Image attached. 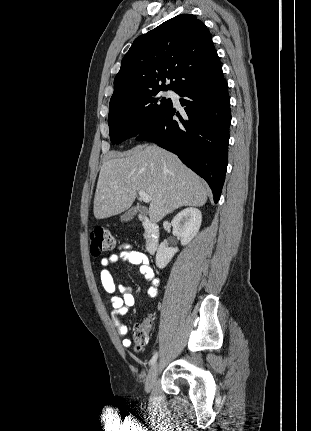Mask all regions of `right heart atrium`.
Here are the masks:
<instances>
[{"mask_svg":"<svg viewBox=\"0 0 311 431\" xmlns=\"http://www.w3.org/2000/svg\"><path fill=\"white\" fill-rule=\"evenodd\" d=\"M135 113H136V117H137L138 121L143 122L145 120L146 110L143 106L137 107Z\"/></svg>","mask_w":311,"mask_h":431,"instance_id":"right-heart-atrium-1","label":"right heart atrium"}]
</instances>
